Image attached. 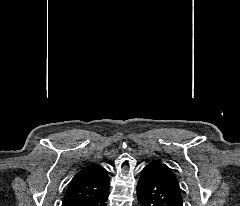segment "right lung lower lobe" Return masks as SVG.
Returning a JSON list of instances; mask_svg holds the SVG:
<instances>
[{"label":"right lung lower lobe","mask_w":240,"mask_h":206,"mask_svg":"<svg viewBox=\"0 0 240 206\" xmlns=\"http://www.w3.org/2000/svg\"><path fill=\"white\" fill-rule=\"evenodd\" d=\"M109 189L103 194L81 204V206H106V201L108 198Z\"/></svg>","instance_id":"98d812e1"}]
</instances>
